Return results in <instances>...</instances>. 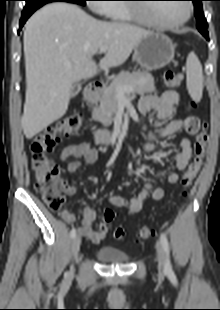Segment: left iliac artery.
I'll use <instances>...</instances> for the list:
<instances>
[{"label":"left iliac artery","instance_id":"obj_1","mask_svg":"<svg viewBox=\"0 0 220 310\" xmlns=\"http://www.w3.org/2000/svg\"><path fill=\"white\" fill-rule=\"evenodd\" d=\"M160 242L161 245L163 247V250L165 252L166 255V270L167 271H171L172 270V265H171V261H170V250H169V244H168V240L165 234H161L160 235Z\"/></svg>","mask_w":220,"mask_h":310}]
</instances>
